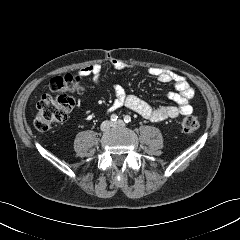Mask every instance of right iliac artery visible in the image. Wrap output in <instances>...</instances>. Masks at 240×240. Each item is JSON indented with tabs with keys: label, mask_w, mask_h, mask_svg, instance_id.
Here are the masks:
<instances>
[{
	"label": "right iliac artery",
	"mask_w": 240,
	"mask_h": 240,
	"mask_svg": "<svg viewBox=\"0 0 240 240\" xmlns=\"http://www.w3.org/2000/svg\"><path fill=\"white\" fill-rule=\"evenodd\" d=\"M117 118H118V116L116 114H112L110 119H111V121L114 122L117 120Z\"/></svg>",
	"instance_id": "1"
}]
</instances>
